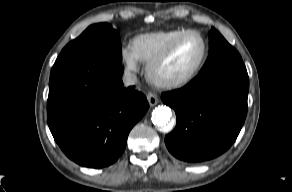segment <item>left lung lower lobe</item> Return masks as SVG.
Returning <instances> with one entry per match:
<instances>
[{"instance_id": "1", "label": "left lung lower lobe", "mask_w": 292, "mask_h": 192, "mask_svg": "<svg viewBox=\"0 0 292 192\" xmlns=\"http://www.w3.org/2000/svg\"><path fill=\"white\" fill-rule=\"evenodd\" d=\"M248 90L247 70L238 67L198 74L182 89L164 93L162 101L177 117L165 137L169 152L195 163L228 150L245 121Z\"/></svg>"}]
</instances>
